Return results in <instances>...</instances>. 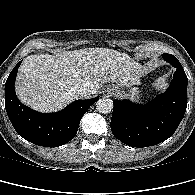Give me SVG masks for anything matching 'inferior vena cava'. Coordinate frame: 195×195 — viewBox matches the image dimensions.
I'll use <instances>...</instances> for the list:
<instances>
[{
  "label": "inferior vena cava",
  "mask_w": 195,
  "mask_h": 195,
  "mask_svg": "<svg viewBox=\"0 0 195 195\" xmlns=\"http://www.w3.org/2000/svg\"><path fill=\"white\" fill-rule=\"evenodd\" d=\"M74 92L79 96H87L90 93L89 87L86 85L77 86L74 88Z\"/></svg>",
  "instance_id": "inferior-vena-cava-1"
}]
</instances>
